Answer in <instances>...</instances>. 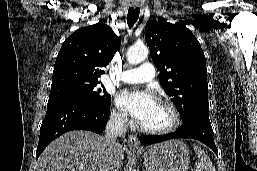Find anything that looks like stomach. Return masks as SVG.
I'll list each match as a JSON object with an SVG mask.
<instances>
[{
  "mask_svg": "<svg viewBox=\"0 0 257 171\" xmlns=\"http://www.w3.org/2000/svg\"><path fill=\"white\" fill-rule=\"evenodd\" d=\"M189 150L179 140L151 146L143 155L147 171H188Z\"/></svg>",
  "mask_w": 257,
  "mask_h": 171,
  "instance_id": "obj_1",
  "label": "stomach"
}]
</instances>
